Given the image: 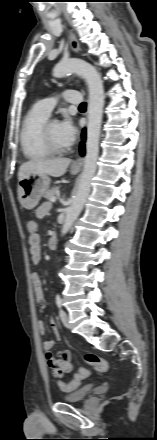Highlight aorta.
<instances>
[{
	"mask_svg": "<svg viewBox=\"0 0 157 440\" xmlns=\"http://www.w3.org/2000/svg\"><path fill=\"white\" fill-rule=\"evenodd\" d=\"M68 73H76L85 79L89 90V102L84 168L80 176L78 189L73 198V202L66 211V217L61 230L62 235H65L70 230L90 193L92 179L97 167L104 105L103 84L99 73L92 65L83 60L72 59L57 64L53 69V76L56 78L64 77Z\"/></svg>",
	"mask_w": 157,
	"mask_h": 440,
	"instance_id": "obj_1",
	"label": "aorta"
}]
</instances>
